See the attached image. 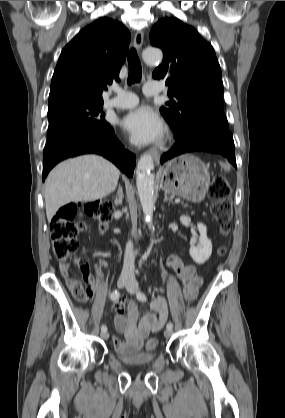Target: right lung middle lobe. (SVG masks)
<instances>
[{
	"label": "right lung middle lobe",
	"mask_w": 285,
	"mask_h": 418,
	"mask_svg": "<svg viewBox=\"0 0 285 418\" xmlns=\"http://www.w3.org/2000/svg\"><path fill=\"white\" fill-rule=\"evenodd\" d=\"M103 102L71 100L48 105L47 143L78 130L102 131L110 128L103 118Z\"/></svg>",
	"instance_id": "obj_1"
}]
</instances>
